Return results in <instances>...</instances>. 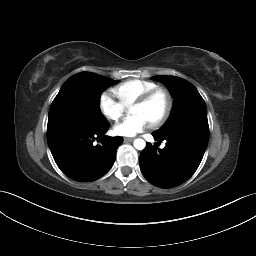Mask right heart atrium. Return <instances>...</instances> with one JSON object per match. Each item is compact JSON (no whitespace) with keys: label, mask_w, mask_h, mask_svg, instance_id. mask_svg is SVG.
<instances>
[{"label":"right heart atrium","mask_w":256,"mask_h":256,"mask_svg":"<svg viewBox=\"0 0 256 256\" xmlns=\"http://www.w3.org/2000/svg\"><path fill=\"white\" fill-rule=\"evenodd\" d=\"M99 108L102 114L111 121H118L125 113V107L106 92L102 93L99 98Z\"/></svg>","instance_id":"right-heart-atrium-1"}]
</instances>
